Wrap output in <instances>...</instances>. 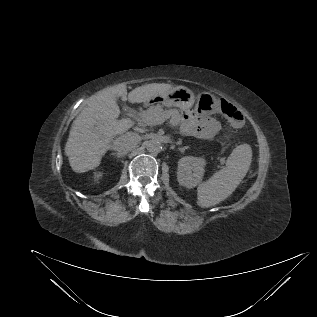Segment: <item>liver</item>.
Wrapping results in <instances>:
<instances>
[{
    "label": "liver",
    "instance_id": "1",
    "mask_svg": "<svg viewBox=\"0 0 317 317\" xmlns=\"http://www.w3.org/2000/svg\"><path fill=\"white\" fill-rule=\"evenodd\" d=\"M173 88L171 84L151 83L135 88L127 96L126 85L122 83L91 97L73 121L65 145L72 170L83 173L97 168L112 140L133 126L130 119L118 120V97L132 104L145 103Z\"/></svg>",
    "mask_w": 317,
    "mask_h": 317
}]
</instances>
